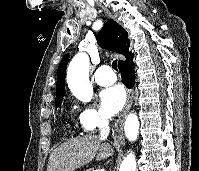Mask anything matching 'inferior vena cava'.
Masks as SVG:
<instances>
[{
  "mask_svg": "<svg viewBox=\"0 0 199 171\" xmlns=\"http://www.w3.org/2000/svg\"><path fill=\"white\" fill-rule=\"evenodd\" d=\"M99 129H100V138L103 140L106 139L110 133V127L108 124V120L106 118L104 117L101 118Z\"/></svg>",
  "mask_w": 199,
  "mask_h": 171,
  "instance_id": "obj_1",
  "label": "inferior vena cava"
}]
</instances>
